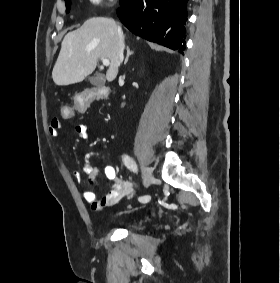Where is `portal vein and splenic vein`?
<instances>
[{
  "label": "portal vein and splenic vein",
  "mask_w": 280,
  "mask_h": 283,
  "mask_svg": "<svg viewBox=\"0 0 280 283\" xmlns=\"http://www.w3.org/2000/svg\"><path fill=\"white\" fill-rule=\"evenodd\" d=\"M101 61H102L104 66H109V64H110V61L107 58L102 57Z\"/></svg>",
  "instance_id": "obj_1"
}]
</instances>
